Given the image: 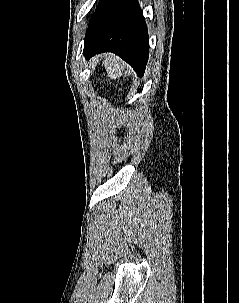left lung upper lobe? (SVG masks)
Here are the masks:
<instances>
[{
  "label": "left lung upper lobe",
  "instance_id": "obj_1",
  "mask_svg": "<svg viewBox=\"0 0 239 303\" xmlns=\"http://www.w3.org/2000/svg\"><path fill=\"white\" fill-rule=\"evenodd\" d=\"M117 0H100L96 11L93 13L85 38L99 25L103 17L108 13Z\"/></svg>",
  "mask_w": 239,
  "mask_h": 303
}]
</instances>
